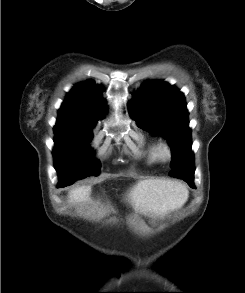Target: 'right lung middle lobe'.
Returning <instances> with one entry per match:
<instances>
[{"label":"right lung middle lobe","mask_w":245,"mask_h":293,"mask_svg":"<svg viewBox=\"0 0 245 293\" xmlns=\"http://www.w3.org/2000/svg\"><path fill=\"white\" fill-rule=\"evenodd\" d=\"M54 133L53 156L60 180L59 187L99 173L100 162L94 160L93 152L88 147L93 137L91 128L56 124Z\"/></svg>","instance_id":"right-lung-middle-lobe-1"}]
</instances>
